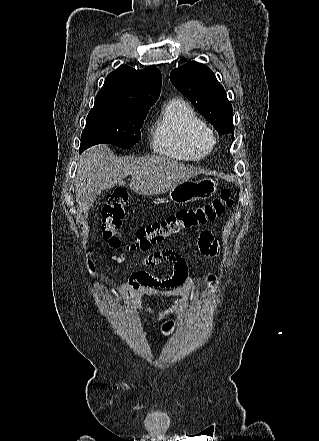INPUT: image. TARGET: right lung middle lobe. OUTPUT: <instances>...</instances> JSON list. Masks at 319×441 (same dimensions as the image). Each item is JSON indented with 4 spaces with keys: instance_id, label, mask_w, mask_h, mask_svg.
Masks as SVG:
<instances>
[{
    "instance_id": "dd1d6c3e",
    "label": "right lung middle lobe",
    "mask_w": 319,
    "mask_h": 441,
    "mask_svg": "<svg viewBox=\"0 0 319 441\" xmlns=\"http://www.w3.org/2000/svg\"><path fill=\"white\" fill-rule=\"evenodd\" d=\"M148 111L149 107H93L82 132L80 153L99 143L130 149L141 139L139 131Z\"/></svg>"
}]
</instances>
